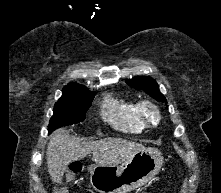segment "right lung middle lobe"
Segmentation results:
<instances>
[{
  "label": "right lung middle lobe",
  "mask_w": 221,
  "mask_h": 193,
  "mask_svg": "<svg viewBox=\"0 0 221 193\" xmlns=\"http://www.w3.org/2000/svg\"><path fill=\"white\" fill-rule=\"evenodd\" d=\"M94 94L84 88L63 89V96L54 106V114L49 122L48 131L81 122L91 105Z\"/></svg>",
  "instance_id": "obj_1"
}]
</instances>
